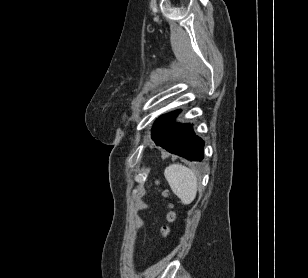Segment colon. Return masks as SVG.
<instances>
[{
	"mask_svg": "<svg viewBox=\"0 0 308 278\" xmlns=\"http://www.w3.org/2000/svg\"><path fill=\"white\" fill-rule=\"evenodd\" d=\"M173 219H174V214L172 212H170L169 215H168V220L172 221ZM163 233L167 234L168 233V228L164 227Z\"/></svg>",
	"mask_w": 308,
	"mask_h": 278,
	"instance_id": "1",
	"label": "colon"
}]
</instances>
